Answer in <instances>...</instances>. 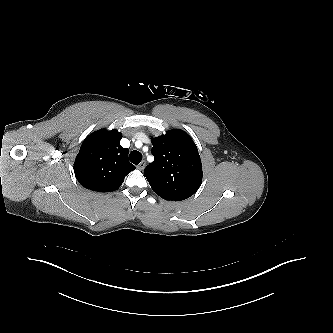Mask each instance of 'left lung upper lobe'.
Instances as JSON below:
<instances>
[{"label":"left lung upper lobe","instance_id":"left-lung-upper-lobe-1","mask_svg":"<svg viewBox=\"0 0 333 333\" xmlns=\"http://www.w3.org/2000/svg\"><path fill=\"white\" fill-rule=\"evenodd\" d=\"M154 161L144 170L153 191L165 200L181 201L192 196L202 181L197 146L183 130H169L152 139Z\"/></svg>","mask_w":333,"mask_h":333}]
</instances>
